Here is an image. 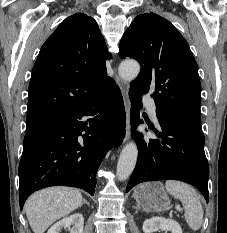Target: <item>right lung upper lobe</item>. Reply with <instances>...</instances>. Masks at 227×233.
<instances>
[{
	"label": "right lung upper lobe",
	"instance_id": "right-lung-upper-lobe-1",
	"mask_svg": "<svg viewBox=\"0 0 227 233\" xmlns=\"http://www.w3.org/2000/svg\"><path fill=\"white\" fill-rule=\"evenodd\" d=\"M104 38L96 21L76 13L43 44L29 84L26 132L81 108L110 86Z\"/></svg>",
	"mask_w": 227,
	"mask_h": 233
}]
</instances>
